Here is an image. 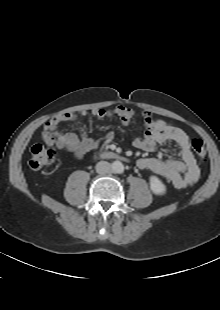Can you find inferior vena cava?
Returning a JSON list of instances; mask_svg holds the SVG:
<instances>
[{
	"mask_svg": "<svg viewBox=\"0 0 220 310\" xmlns=\"http://www.w3.org/2000/svg\"><path fill=\"white\" fill-rule=\"evenodd\" d=\"M96 172L101 175L112 172V165L106 161H100L95 166Z\"/></svg>",
	"mask_w": 220,
	"mask_h": 310,
	"instance_id": "1",
	"label": "inferior vena cava"
}]
</instances>
